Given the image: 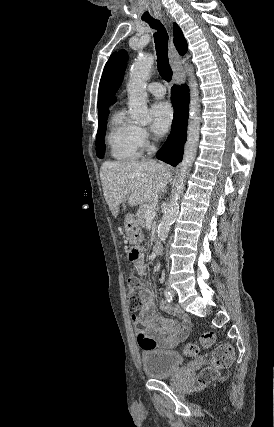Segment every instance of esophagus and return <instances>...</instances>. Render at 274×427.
Returning a JSON list of instances; mask_svg holds the SVG:
<instances>
[{
  "label": "esophagus",
  "mask_w": 274,
  "mask_h": 427,
  "mask_svg": "<svg viewBox=\"0 0 274 427\" xmlns=\"http://www.w3.org/2000/svg\"><path fill=\"white\" fill-rule=\"evenodd\" d=\"M164 20L167 23V25H169L167 19L164 18ZM169 59L173 69V83L180 84L185 80V74L179 65L180 57L178 55V52L175 49L172 38H170V43H169Z\"/></svg>",
  "instance_id": "34e87169"
}]
</instances>
